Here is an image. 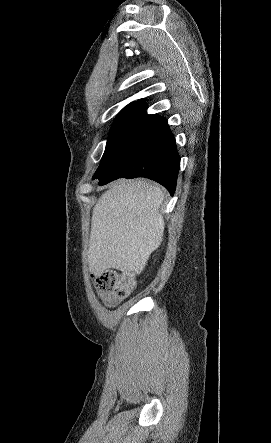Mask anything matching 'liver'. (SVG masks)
Here are the masks:
<instances>
[{
  "instance_id": "liver-1",
  "label": "liver",
  "mask_w": 271,
  "mask_h": 443,
  "mask_svg": "<svg viewBox=\"0 0 271 443\" xmlns=\"http://www.w3.org/2000/svg\"><path fill=\"white\" fill-rule=\"evenodd\" d=\"M164 194L148 180H118L93 208L88 269L99 275L108 267L126 275L142 273L161 241Z\"/></svg>"
}]
</instances>
